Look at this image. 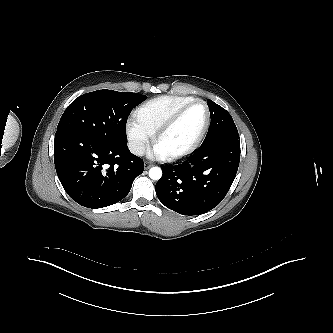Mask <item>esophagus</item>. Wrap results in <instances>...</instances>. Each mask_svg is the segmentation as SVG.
<instances>
[{
  "label": "esophagus",
  "mask_w": 333,
  "mask_h": 333,
  "mask_svg": "<svg viewBox=\"0 0 333 333\" xmlns=\"http://www.w3.org/2000/svg\"><path fill=\"white\" fill-rule=\"evenodd\" d=\"M152 167V164L151 163H149V162H145L144 163V168L145 169H149V168H151Z\"/></svg>",
  "instance_id": "34e87169"
}]
</instances>
